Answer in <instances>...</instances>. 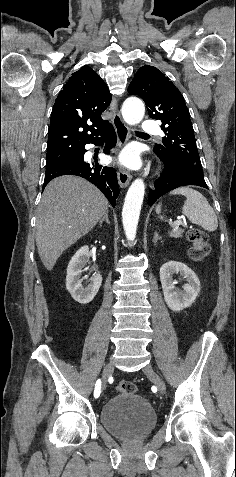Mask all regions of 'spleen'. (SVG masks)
<instances>
[{
  "instance_id": "spleen-1",
  "label": "spleen",
  "mask_w": 236,
  "mask_h": 477,
  "mask_svg": "<svg viewBox=\"0 0 236 477\" xmlns=\"http://www.w3.org/2000/svg\"><path fill=\"white\" fill-rule=\"evenodd\" d=\"M171 194H181L186 197L182 207V213L194 224L201 226L204 230L213 232L218 228L217 216L207 199L198 191L181 187L173 190ZM160 204L156 209L159 214ZM162 219V217H161Z\"/></svg>"
}]
</instances>
